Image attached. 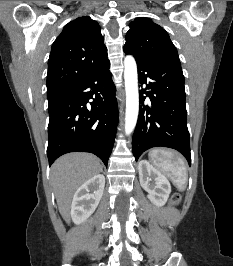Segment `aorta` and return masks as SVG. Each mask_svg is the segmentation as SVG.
Returning a JSON list of instances; mask_svg holds the SVG:
<instances>
[{
    "mask_svg": "<svg viewBox=\"0 0 233 266\" xmlns=\"http://www.w3.org/2000/svg\"><path fill=\"white\" fill-rule=\"evenodd\" d=\"M124 80L126 91L125 133L129 135L136 126L139 113L137 65L131 55H127L124 59Z\"/></svg>",
    "mask_w": 233,
    "mask_h": 266,
    "instance_id": "obj_1",
    "label": "aorta"
}]
</instances>
